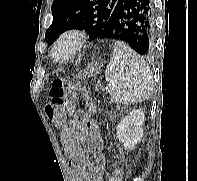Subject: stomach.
<instances>
[{
    "mask_svg": "<svg viewBox=\"0 0 197 181\" xmlns=\"http://www.w3.org/2000/svg\"><path fill=\"white\" fill-rule=\"evenodd\" d=\"M101 70V66L98 64L92 65L91 67H89L84 73L83 75L85 76H92L94 74H98Z\"/></svg>",
    "mask_w": 197,
    "mask_h": 181,
    "instance_id": "obj_1",
    "label": "stomach"
}]
</instances>
